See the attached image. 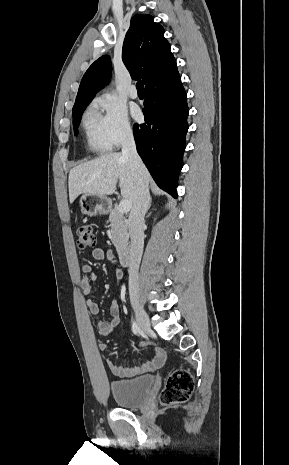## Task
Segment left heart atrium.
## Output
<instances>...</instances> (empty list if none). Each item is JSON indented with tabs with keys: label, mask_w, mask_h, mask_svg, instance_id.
I'll return each mask as SVG.
<instances>
[{
	"label": "left heart atrium",
	"mask_w": 289,
	"mask_h": 465,
	"mask_svg": "<svg viewBox=\"0 0 289 465\" xmlns=\"http://www.w3.org/2000/svg\"><path fill=\"white\" fill-rule=\"evenodd\" d=\"M132 115H133L134 118H139L140 115H141L140 110L138 108H134L132 110Z\"/></svg>",
	"instance_id": "39dd6f15"
}]
</instances>
